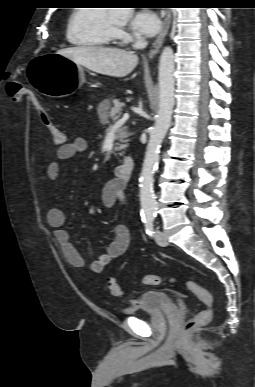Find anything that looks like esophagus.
<instances>
[{
    "label": "esophagus",
    "instance_id": "esophagus-1",
    "mask_svg": "<svg viewBox=\"0 0 255 387\" xmlns=\"http://www.w3.org/2000/svg\"><path fill=\"white\" fill-rule=\"evenodd\" d=\"M170 24H171V12L166 11V15H165V18L163 21L162 29H161L159 35L157 36L156 40L153 42L151 49L149 51V55H148L149 59H152L158 53L159 49L162 46L164 38H165L166 34L168 33V30L170 28Z\"/></svg>",
    "mask_w": 255,
    "mask_h": 387
}]
</instances>
